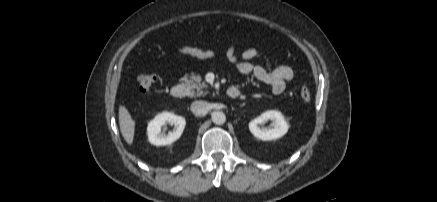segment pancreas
Wrapping results in <instances>:
<instances>
[{
    "mask_svg": "<svg viewBox=\"0 0 437 202\" xmlns=\"http://www.w3.org/2000/svg\"><path fill=\"white\" fill-rule=\"evenodd\" d=\"M181 82L186 87V94L189 97H201L207 94V84L202 81L199 75L183 77Z\"/></svg>",
    "mask_w": 437,
    "mask_h": 202,
    "instance_id": "1",
    "label": "pancreas"
}]
</instances>
